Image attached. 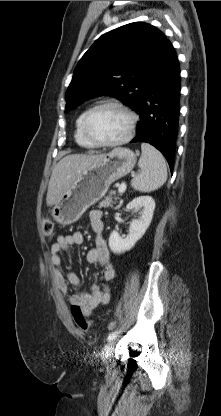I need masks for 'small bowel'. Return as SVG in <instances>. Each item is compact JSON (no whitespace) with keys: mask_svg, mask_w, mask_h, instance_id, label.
<instances>
[{"mask_svg":"<svg viewBox=\"0 0 221 416\" xmlns=\"http://www.w3.org/2000/svg\"><path fill=\"white\" fill-rule=\"evenodd\" d=\"M89 223L95 233V245L86 255V260L91 264H98L102 269V277L105 281H111L115 277V269L111 261L110 252L102 236L104 224L102 212L91 210L89 212ZM84 242V235L81 231H75L69 235H59L56 242L51 247L53 284L58 291L68 299L70 304L78 305L84 315L90 316L100 305L108 304L111 300V293L107 287L101 288L93 285L90 291L82 289L80 278L74 272L64 274L62 269L61 250L68 249L73 245H80ZM71 284L77 290L76 293L69 294L68 285Z\"/></svg>","mask_w":221,"mask_h":416,"instance_id":"small-bowel-1","label":"small bowel"}]
</instances>
